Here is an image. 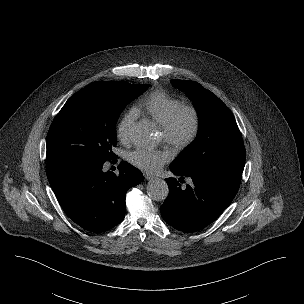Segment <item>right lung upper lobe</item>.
<instances>
[{"label":"right lung upper lobe","mask_w":304,"mask_h":304,"mask_svg":"<svg viewBox=\"0 0 304 304\" xmlns=\"http://www.w3.org/2000/svg\"><path fill=\"white\" fill-rule=\"evenodd\" d=\"M70 169L55 166L52 164H46V174L48 177L49 182L53 181L57 177L67 173Z\"/></svg>","instance_id":"1"}]
</instances>
